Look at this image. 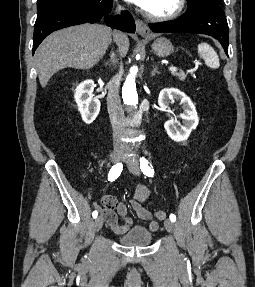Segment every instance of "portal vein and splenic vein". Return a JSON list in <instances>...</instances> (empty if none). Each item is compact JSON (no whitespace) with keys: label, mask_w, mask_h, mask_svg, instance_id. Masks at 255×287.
I'll use <instances>...</instances> for the list:
<instances>
[{"label":"portal vein and splenic vein","mask_w":255,"mask_h":287,"mask_svg":"<svg viewBox=\"0 0 255 287\" xmlns=\"http://www.w3.org/2000/svg\"><path fill=\"white\" fill-rule=\"evenodd\" d=\"M169 70L170 72H177V68H174V66H170Z\"/></svg>","instance_id":"18ae733b"}]
</instances>
